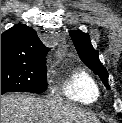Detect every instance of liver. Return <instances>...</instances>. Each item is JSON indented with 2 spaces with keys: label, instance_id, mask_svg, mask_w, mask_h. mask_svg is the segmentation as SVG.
Wrapping results in <instances>:
<instances>
[{
  "label": "liver",
  "instance_id": "6515ba94",
  "mask_svg": "<svg viewBox=\"0 0 122 123\" xmlns=\"http://www.w3.org/2000/svg\"><path fill=\"white\" fill-rule=\"evenodd\" d=\"M1 123H100L90 112L29 94L1 97Z\"/></svg>",
  "mask_w": 122,
  "mask_h": 123
}]
</instances>
